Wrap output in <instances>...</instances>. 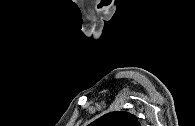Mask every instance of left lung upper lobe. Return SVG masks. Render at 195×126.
Wrapping results in <instances>:
<instances>
[{
	"instance_id": "left-lung-upper-lobe-1",
	"label": "left lung upper lobe",
	"mask_w": 195,
	"mask_h": 126,
	"mask_svg": "<svg viewBox=\"0 0 195 126\" xmlns=\"http://www.w3.org/2000/svg\"><path fill=\"white\" fill-rule=\"evenodd\" d=\"M89 126H140V123L133 114L124 111H114L103 115Z\"/></svg>"
}]
</instances>
